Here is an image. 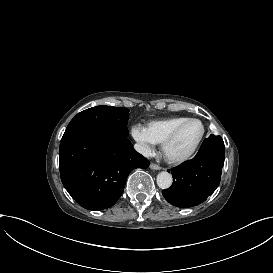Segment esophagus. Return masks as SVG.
<instances>
[{
  "label": "esophagus",
  "mask_w": 273,
  "mask_h": 273,
  "mask_svg": "<svg viewBox=\"0 0 273 273\" xmlns=\"http://www.w3.org/2000/svg\"><path fill=\"white\" fill-rule=\"evenodd\" d=\"M150 168L151 169H154V170H160L161 169V166L155 164V163H151L150 164Z\"/></svg>",
  "instance_id": "1"
}]
</instances>
